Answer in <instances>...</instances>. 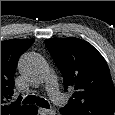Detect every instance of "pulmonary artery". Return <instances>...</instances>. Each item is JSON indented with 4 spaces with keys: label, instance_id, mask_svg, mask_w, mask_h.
<instances>
[{
    "label": "pulmonary artery",
    "instance_id": "e3ab8cb5",
    "mask_svg": "<svg viewBox=\"0 0 115 115\" xmlns=\"http://www.w3.org/2000/svg\"><path fill=\"white\" fill-rule=\"evenodd\" d=\"M44 80L46 83V90L53 101L56 103H62L64 101V97L58 90L54 75L48 73L44 76Z\"/></svg>",
    "mask_w": 115,
    "mask_h": 115
}]
</instances>
